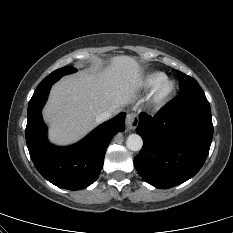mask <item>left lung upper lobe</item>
<instances>
[{"label": "left lung upper lobe", "mask_w": 233, "mask_h": 233, "mask_svg": "<svg viewBox=\"0 0 233 233\" xmlns=\"http://www.w3.org/2000/svg\"><path fill=\"white\" fill-rule=\"evenodd\" d=\"M177 76L181 93L203 92L202 88L194 78L180 71H177Z\"/></svg>", "instance_id": "5c2ea615"}]
</instances>
